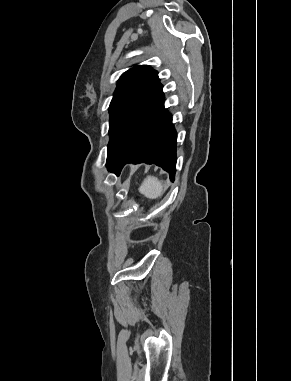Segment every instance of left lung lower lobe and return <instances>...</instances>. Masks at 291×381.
<instances>
[{"mask_svg":"<svg viewBox=\"0 0 291 381\" xmlns=\"http://www.w3.org/2000/svg\"><path fill=\"white\" fill-rule=\"evenodd\" d=\"M176 132L164 108L162 89L148 102L126 134L107 156V168L117 175L127 163L156 164L173 181L176 167Z\"/></svg>","mask_w":291,"mask_h":381,"instance_id":"1","label":"left lung lower lobe"}]
</instances>
